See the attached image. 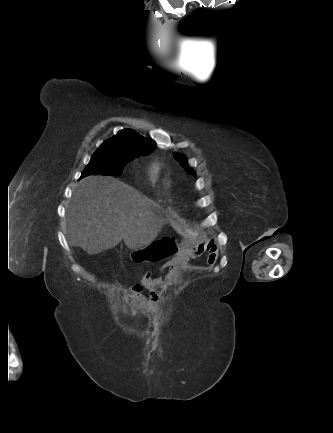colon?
Here are the masks:
<instances>
[{
	"label": "colon",
	"mask_w": 333,
	"mask_h": 433,
	"mask_svg": "<svg viewBox=\"0 0 333 433\" xmlns=\"http://www.w3.org/2000/svg\"><path fill=\"white\" fill-rule=\"evenodd\" d=\"M178 239L173 236H162L161 240H154L153 244H146L145 249L127 251L129 263L138 265H161L162 258H174L178 248ZM133 257V258H131Z\"/></svg>",
	"instance_id": "colon-1"
}]
</instances>
